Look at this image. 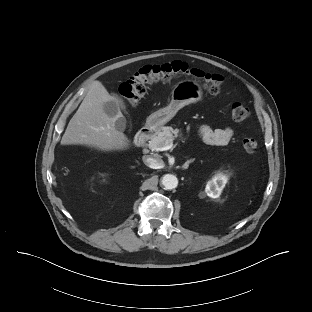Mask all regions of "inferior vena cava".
I'll list each match as a JSON object with an SVG mask.
<instances>
[{"label":"inferior vena cava","instance_id":"1","mask_svg":"<svg viewBox=\"0 0 312 312\" xmlns=\"http://www.w3.org/2000/svg\"><path fill=\"white\" fill-rule=\"evenodd\" d=\"M142 159L144 164L152 169H159L164 164L163 160L159 157L143 156Z\"/></svg>","mask_w":312,"mask_h":312}]
</instances>
